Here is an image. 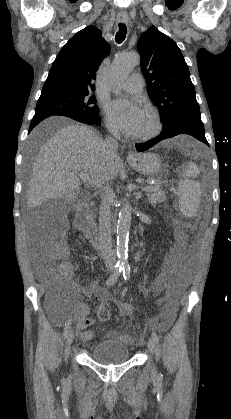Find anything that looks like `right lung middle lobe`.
I'll use <instances>...</instances> for the list:
<instances>
[{
	"instance_id": "dd1d6c3e",
	"label": "right lung middle lobe",
	"mask_w": 231,
	"mask_h": 419,
	"mask_svg": "<svg viewBox=\"0 0 231 419\" xmlns=\"http://www.w3.org/2000/svg\"><path fill=\"white\" fill-rule=\"evenodd\" d=\"M91 91L61 85L44 86L36 105V114L60 115L75 120H93L99 116Z\"/></svg>"
}]
</instances>
